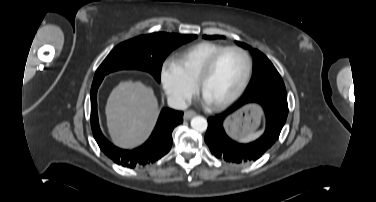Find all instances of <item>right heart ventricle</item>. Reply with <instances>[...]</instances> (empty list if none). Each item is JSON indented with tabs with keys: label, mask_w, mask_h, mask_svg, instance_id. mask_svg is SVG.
I'll return each instance as SVG.
<instances>
[{
	"label": "right heart ventricle",
	"mask_w": 376,
	"mask_h": 202,
	"mask_svg": "<svg viewBox=\"0 0 376 202\" xmlns=\"http://www.w3.org/2000/svg\"><path fill=\"white\" fill-rule=\"evenodd\" d=\"M225 48L224 45L203 41L194 44L174 56V61L182 70L184 76L195 84L196 78L204 64L218 51Z\"/></svg>",
	"instance_id": "e07e8e85"
}]
</instances>
